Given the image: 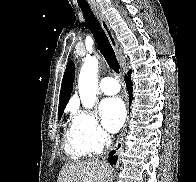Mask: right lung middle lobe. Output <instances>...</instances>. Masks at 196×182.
<instances>
[{
  "label": "right lung middle lobe",
  "mask_w": 196,
  "mask_h": 182,
  "mask_svg": "<svg viewBox=\"0 0 196 182\" xmlns=\"http://www.w3.org/2000/svg\"><path fill=\"white\" fill-rule=\"evenodd\" d=\"M61 116H62V114H59V115H58V119H59V120L61 119Z\"/></svg>",
  "instance_id": "1"
}]
</instances>
